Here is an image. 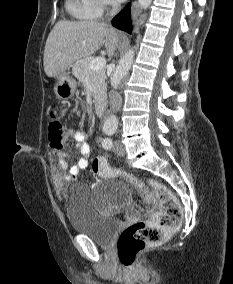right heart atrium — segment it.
I'll return each mask as SVG.
<instances>
[{
    "label": "right heart atrium",
    "instance_id": "d8ad5b80",
    "mask_svg": "<svg viewBox=\"0 0 233 284\" xmlns=\"http://www.w3.org/2000/svg\"><path fill=\"white\" fill-rule=\"evenodd\" d=\"M103 7H111L114 4V0H100Z\"/></svg>",
    "mask_w": 233,
    "mask_h": 284
}]
</instances>
